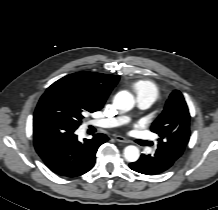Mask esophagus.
I'll return each instance as SVG.
<instances>
[{"mask_svg":"<svg viewBox=\"0 0 218 210\" xmlns=\"http://www.w3.org/2000/svg\"><path fill=\"white\" fill-rule=\"evenodd\" d=\"M115 140L117 141V142H121V143H128V140L125 138V137H123V136H115Z\"/></svg>","mask_w":218,"mask_h":210,"instance_id":"obj_1","label":"esophagus"}]
</instances>
